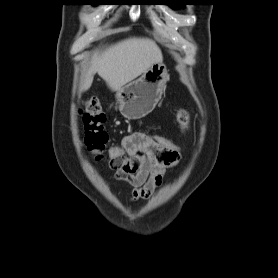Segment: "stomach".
I'll return each mask as SVG.
<instances>
[{
  "label": "stomach",
  "instance_id": "1",
  "mask_svg": "<svg viewBox=\"0 0 278 278\" xmlns=\"http://www.w3.org/2000/svg\"><path fill=\"white\" fill-rule=\"evenodd\" d=\"M168 80L166 65L153 64L140 78L117 91L120 113L127 119H140L149 114L161 99Z\"/></svg>",
  "mask_w": 278,
  "mask_h": 278
}]
</instances>
